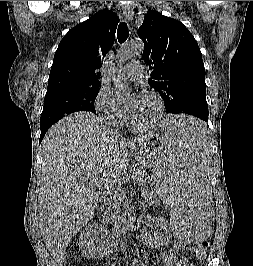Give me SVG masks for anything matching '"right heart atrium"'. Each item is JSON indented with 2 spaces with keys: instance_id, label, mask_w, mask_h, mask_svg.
Masks as SVG:
<instances>
[{
  "instance_id": "d8ad5b80",
  "label": "right heart atrium",
  "mask_w": 253,
  "mask_h": 266,
  "mask_svg": "<svg viewBox=\"0 0 253 266\" xmlns=\"http://www.w3.org/2000/svg\"><path fill=\"white\" fill-rule=\"evenodd\" d=\"M94 107L101 119L112 125H121L126 121L123 109L107 88L101 87L94 99Z\"/></svg>"
}]
</instances>
